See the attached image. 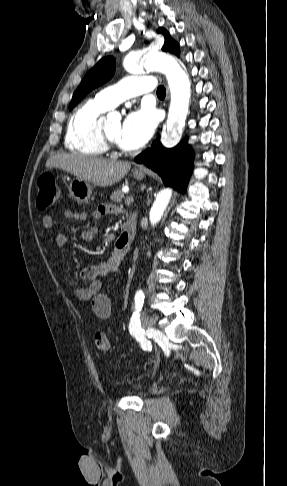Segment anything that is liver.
I'll list each match as a JSON object with an SVG mask.
<instances>
[{
	"label": "liver",
	"mask_w": 287,
	"mask_h": 486,
	"mask_svg": "<svg viewBox=\"0 0 287 486\" xmlns=\"http://www.w3.org/2000/svg\"><path fill=\"white\" fill-rule=\"evenodd\" d=\"M46 167L59 168L78 179L107 187L119 182L130 170L131 163L92 158L77 153H61L50 157Z\"/></svg>",
	"instance_id": "1"
}]
</instances>
